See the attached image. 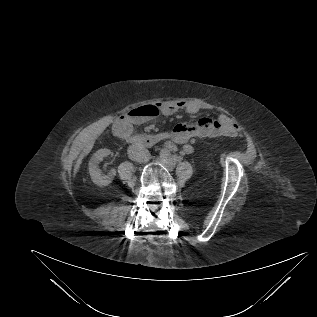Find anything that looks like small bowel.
Returning <instances> with one entry per match:
<instances>
[{"instance_id":"obj_1","label":"small bowel","mask_w":317,"mask_h":317,"mask_svg":"<svg viewBox=\"0 0 317 317\" xmlns=\"http://www.w3.org/2000/svg\"><path fill=\"white\" fill-rule=\"evenodd\" d=\"M160 108L161 114L164 116H171L179 111H186L189 114H197L201 107L194 101H162L157 104ZM135 122L128 117L117 122V128L124 133H132ZM239 128L227 116H220L214 119L210 116H202L197 123L188 124L181 123L176 125L171 134L170 141L167 146L171 151L176 150L175 144H182V152L190 154L193 152V146L190 140L194 137L210 138L216 136H236Z\"/></svg>"}]
</instances>
